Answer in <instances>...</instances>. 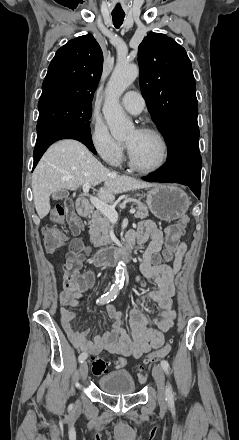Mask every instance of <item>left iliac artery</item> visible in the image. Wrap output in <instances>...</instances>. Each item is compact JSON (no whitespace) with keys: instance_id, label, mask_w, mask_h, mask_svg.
<instances>
[{"instance_id":"44dca946","label":"left iliac artery","mask_w":239,"mask_h":440,"mask_svg":"<svg viewBox=\"0 0 239 440\" xmlns=\"http://www.w3.org/2000/svg\"><path fill=\"white\" fill-rule=\"evenodd\" d=\"M161 367L164 370V372L169 375L170 373V366L169 363L167 362V360H162L161 361ZM166 397L169 403H173L174 401V393H173V389L171 384L168 383V385L166 386Z\"/></svg>"}]
</instances>
